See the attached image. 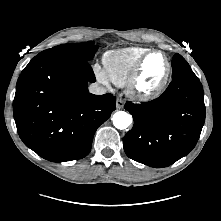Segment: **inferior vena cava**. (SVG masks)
Returning a JSON list of instances; mask_svg holds the SVG:
<instances>
[{
    "instance_id": "inferior-vena-cava-1",
    "label": "inferior vena cava",
    "mask_w": 221,
    "mask_h": 221,
    "mask_svg": "<svg viewBox=\"0 0 221 221\" xmlns=\"http://www.w3.org/2000/svg\"><path fill=\"white\" fill-rule=\"evenodd\" d=\"M89 92L95 95H103L106 93V88L98 83H92L89 85Z\"/></svg>"
}]
</instances>
